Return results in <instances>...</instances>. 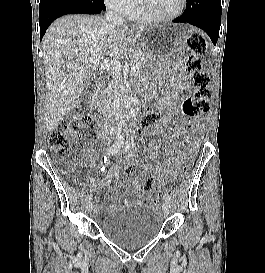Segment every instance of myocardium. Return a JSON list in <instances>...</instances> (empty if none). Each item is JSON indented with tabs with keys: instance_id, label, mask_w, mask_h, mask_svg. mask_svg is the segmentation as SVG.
Returning a JSON list of instances; mask_svg holds the SVG:
<instances>
[{
	"instance_id": "myocardium-1",
	"label": "myocardium",
	"mask_w": 265,
	"mask_h": 273,
	"mask_svg": "<svg viewBox=\"0 0 265 273\" xmlns=\"http://www.w3.org/2000/svg\"><path fill=\"white\" fill-rule=\"evenodd\" d=\"M147 2H148L147 0H139L140 7L143 13L148 18V20L152 22H169V21L177 19L184 13L186 4H187V0H181V5L174 14L169 16H159L151 12Z\"/></svg>"
}]
</instances>
